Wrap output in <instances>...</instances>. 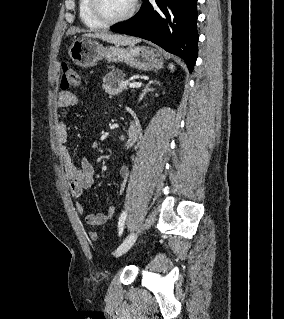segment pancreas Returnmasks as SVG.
Segmentation results:
<instances>
[{"label":"pancreas","instance_id":"1","mask_svg":"<svg viewBox=\"0 0 284 319\" xmlns=\"http://www.w3.org/2000/svg\"><path fill=\"white\" fill-rule=\"evenodd\" d=\"M115 73L119 74V77L115 78ZM124 74L121 71L113 70L106 74L103 78V89L111 95H117L126 89L127 84L124 82Z\"/></svg>","mask_w":284,"mask_h":319}]
</instances>
